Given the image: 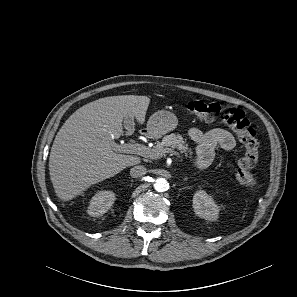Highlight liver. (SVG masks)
Segmentation results:
<instances>
[{
    "label": "liver",
    "mask_w": 297,
    "mask_h": 297,
    "mask_svg": "<svg viewBox=\"0 0 297 297\" xmlns=\"http://www.w3.org/2000/svg\"><path fill=\"white\" fill-rule=\"evenodd\" d=\"M147 96L100 98L77 109L58 131L49 156V173L56 195L71 200L91 185L141 162L121 154L113 140L123 133L127 116L145 121Z\"/></svg>",
    "instance_id": "6515ba94"
}]
</instances>
